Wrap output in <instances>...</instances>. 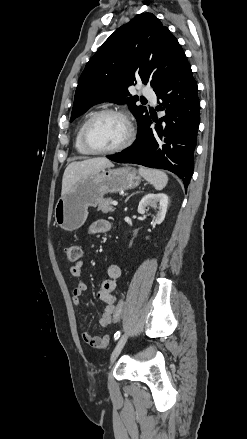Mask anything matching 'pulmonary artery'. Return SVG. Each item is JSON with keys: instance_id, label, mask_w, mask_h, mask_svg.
Instances as JSON below:
<instances>
[{"instance_id": "1", "label": "pulmonary artery", "mask_w": 247, "mask_h": 439, "mask_svg": "<svg viewBox=\"0 0 247 439\" xmlns=\"http://www.w3.org/2000/svg\"><path fill=\"white\" fill-rule=\"evenodd\" d=\"M141 91L145 96L149 97L151 100L153 101L155 100V94L150 87L142 86Z\"/></svg>"}]
</instances>
